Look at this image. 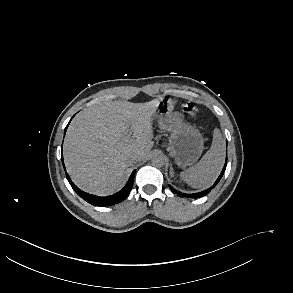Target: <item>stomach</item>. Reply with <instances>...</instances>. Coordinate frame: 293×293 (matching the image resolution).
<instances>
[{"mask_svg":"<svg viewBox=\"0 0 293 293\" xmlns=\"http://www.w3.org/2000/svg\"><path fill=\"white\" fill-rule=\"evenodd\" d=\"M162 130L170 132L169 151L179 166L192 165L204 149V139L200 131L184 121L180 112L174 111L171 99L160 100L154 114Z\"/></svg>","mask_w":293,"mask_h":293,"instance_id":"stomach-1","label":"stomach"}]
</instances>
